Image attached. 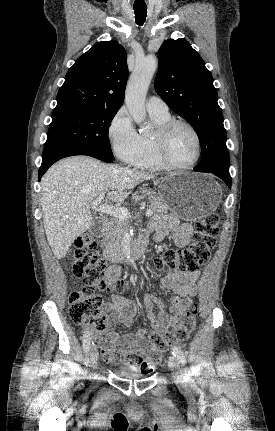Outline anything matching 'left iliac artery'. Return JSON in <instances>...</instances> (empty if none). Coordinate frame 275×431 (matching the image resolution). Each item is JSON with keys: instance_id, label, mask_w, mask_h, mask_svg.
Listing matches in <instances>:
<instances>
[{"instance_id": "44dca946", "label": "left iliac artery", "mask_w": 275, "mask_h": 431, "mask_svg": "<svg viewBox=\"0 0 275 431\" xmlns=\"http://www.w3.org/2000/svg\"><path fill=\"white\" fill-rule=\"evenodd\" d=\"M172 354L179 360L182 365L186 364V357L184 351L180 347H173ZM185 372H188V369H184Z\"/></svg>"}]
</instances>
